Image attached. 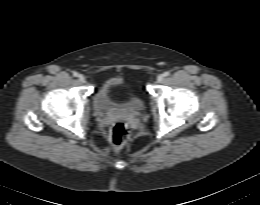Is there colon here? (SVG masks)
<instances>
[{"mask_svg": "<svg viewBox=\"0 0 260 205\" xmlns=\"http://www.w3.org/2000/svg\"><path fill=\"white\" fill-rule=\"evenodd\" d=\"M129 136V130L125 123H114L108 132V142L114 149H120L124 146Z\"/></svg>", "mask_w": 260, "mask_h": 205, "instance_id": "5ec220e1", "label": "colon"}]
</instances>
